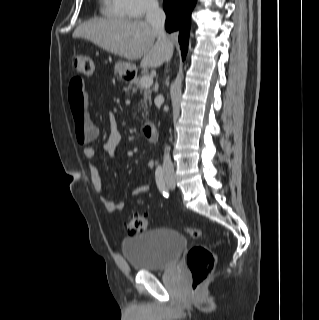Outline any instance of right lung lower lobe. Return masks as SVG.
<instances>
[{
	"label": "right lung lower lobe",
	"mask_w": 319,
	"mask_h": 320,
	"mask_svg": "<svg viewBox=\"0 0 319 320\" xmlns=\"http://www.w3.org/2000/svg\"><path fill=\"white\" fill-rule=\"evenodd\" d=\"M196 0H164L163 9L166 13L165 28L168 32L179 31V43L182 59L188 49V35L191 24V12Z\"/></svg>",
	"instance_id": "obj_1"
}]
</instances>
